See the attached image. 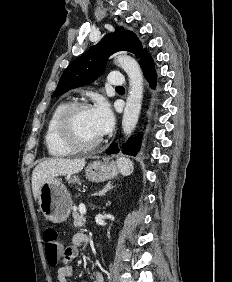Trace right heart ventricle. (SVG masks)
Masks as SVG:
<instances>
[{
    "instance_id": "obj_1",
    "label": "right heart ventricle",
    "mask_w": 232,
    "mask_h": 282,
    "mask_svg": "<svg viewBox=\"0 0 232 282\" xmlns=\"http://www.w3.org/2000/svg\"><path fill=\"white\" fill-rule=\"evenodd\" d=\"M68 105L66 102L59 103L52 111L47 123L44 141L48 153L53 157H66L73 154L74 150L63 144L57 135V121L63 111Z\"/></svg>"
}]
</instances>
